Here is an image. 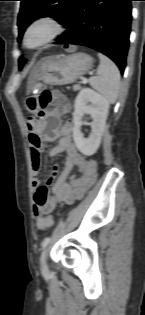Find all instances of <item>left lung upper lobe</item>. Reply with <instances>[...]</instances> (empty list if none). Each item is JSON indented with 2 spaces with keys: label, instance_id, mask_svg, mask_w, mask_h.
Returning a JSON list of instances; mask_svg holds the SVG:
<instances>
[{
  "label": "left lung upper lobe",
  "instance_id": "1",
  "mask_svg": "<svg viewBox=\"0 0 145 315\" xmlns=\"http://www.w3.org/2000/svg\"><path fill=\"white\" fill-rule=\"evenodd\" d=\"M21 7L18 15L19 36L21 41L25 29L38 17L53 15L57 17L60 24L64 25L69 17L76 0H20ZM25 59H19V69L21 70Z\"/></svg>",
  "mask_w": 145,
  "mask_h": 315
}]
</instances>
